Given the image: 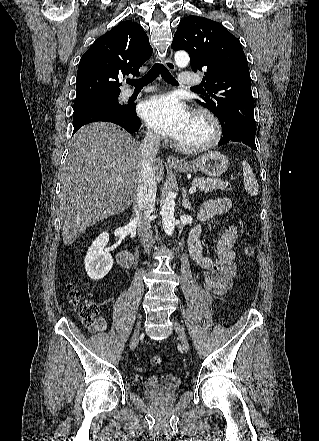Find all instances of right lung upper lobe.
<instances>
[{
  "instance_id": "obj_1",
  "label": "right lung upper lobe",
  "mask_w": 319,
  "mask_h": 441,
  "mask_svg": "<svg viewBox=\"0 0 319 441\" xmlns=\"http://www.w3.org/2000/svg\"><path fill=\"white\" fill-rule=\"evenodd\" d=\"M152 54L142 27L125 21L99 37L79 62L75 101L120 94L119 78L138 77L139 68Z\"/></svg>"
}]
</instances>
